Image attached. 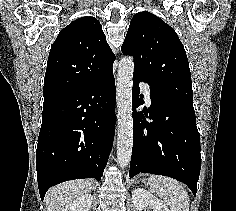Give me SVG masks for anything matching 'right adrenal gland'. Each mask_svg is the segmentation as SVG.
<instances>
[{"label": "right adrenal gland", "mask_w": 236, "mask_h": 211, "mask_svg": "<svg viewBox=\"0 0 236 211\" xmlns=\"http://www.w3.org/2000/svg\"><path fill=\"white\" fill-rule=\"evenodd\" d=\"M92 190H96V187L94 184L92 185Z\"/></svg>", "instance_id": "obj_1"}]
</instances>
